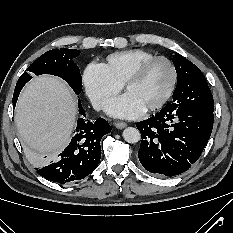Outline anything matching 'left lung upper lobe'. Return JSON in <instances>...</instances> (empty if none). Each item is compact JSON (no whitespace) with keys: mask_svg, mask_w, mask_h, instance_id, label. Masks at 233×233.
<instances>
[{"mask_svg":"<svg viewBox=\"0 0 233 233\" xmlns=\"http://www.w3.org/2000/svg\"><path fill=\"white\" fill-rule=\"evenodd\" d=\"M173 63L177 72L173 103L214 112L213 96L200 69L179 53L173 56Z\"/></svg>","mask_w":233,"mask_h":233,"instance_id":"obj_1","label":"left lung upper lobe"}]
</instances>
